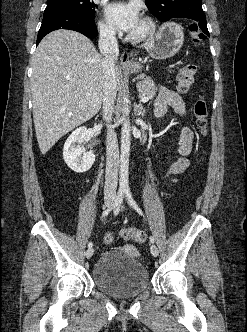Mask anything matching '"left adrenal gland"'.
I'll return each instance as SVG.
<instances>
[{"label":"left adrenal gland","mask_w":247,"mask_h":332,"mask_svg":"<svg viewBox=\"0 0 247 332\" xmlns=\"http://www.w3.org/2000/svg\"><path fill=\"white\" fill-rule=\"evenodd\" d=\"M137 115L143 117L145 115V109H143L142 103L140 102L137 106Z\"/></svg>","instance_id":"obj_1"}]
</instances>
